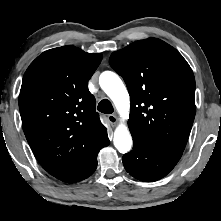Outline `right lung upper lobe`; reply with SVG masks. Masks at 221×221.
I'll return each mask as SVG.
<instances>
[{"mask_svg": "<svg viewBox=\"0 0 221 221\" xmlns=\"http://www.w3.org/2000/svg\"><path fill=\"white\" fill-rule=\"evenodd\" d=\"M102 57L63 46L42 53L24 74L19 95L23 130L38 162L58 179L107 136L88 90Z\"/></svg>", "mask_w": 221, "mask_h": 221, "instance_id": "obj_1", "label": "right lung upper lobe"}]
</instances>
